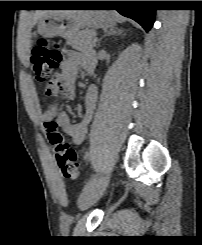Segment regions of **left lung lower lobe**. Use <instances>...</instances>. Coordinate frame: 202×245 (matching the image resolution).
Wrapping results in <instances>:
<instances>
[{
  "mask_svg": "<svg viewBox=\"0 0 202 245\" xmlns=\"http://www.w3.org/2000/svg\"><path fill=\"white\" fill-rule=\"evenodd\" d=\"M137 1H117L116 10L123 16L129 17L137 21L147 32L151 29L154 23L155 10L150 8L135 7L131 8ZM103 1H84L85 6H96L103 4Z\"/></svg>",
  "mask_w": 202,
  "mask_h": 245,
  "instance_id": "left-lung-lower-lobe-1",
  "label": "left lung lower lobe"
}]
</instances>
